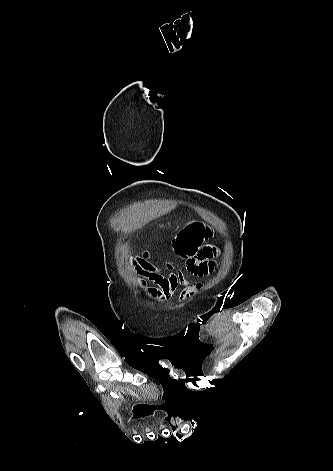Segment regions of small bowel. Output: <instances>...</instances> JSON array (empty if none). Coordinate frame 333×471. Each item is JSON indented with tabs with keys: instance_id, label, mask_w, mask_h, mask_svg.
Wrapping results in <instances>:
<instances>
[{
	"instance_id": "obj_1",
	"label": "small bowel",
	"mask_w": 333,
	"mask_h": 471,
	"mask_svg": "<svg viewBox=\"0 0 333 471\" xmlns=\"http://www.w3.org/2000/svg\"><path fill=\"white\" fill-rule=\"evenodd\" d=\"M209 235V230L203 223L192 222L174 238V250L185 260L187 273L204 276L214 269L213 258L216 251L206 243ZM130 267L138 277L140 286L145 287L147 282L153 284L147 293L157 300L168 299L179 287H183L180 298L186 300L199 287L188 280L183 269L172 263L158 266L150 260L148 253L133 257Z\"/></svg>"
}]
</instances>
